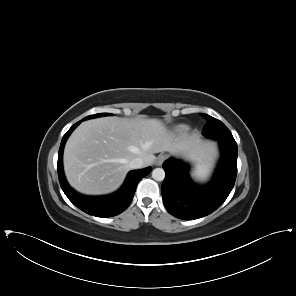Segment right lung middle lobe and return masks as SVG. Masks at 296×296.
<instances>
[{"label": "right lung middle lobe", "mask_w": 296, "mask_h": 296, "mask_svg": "<svg viewBox=\"0 0 296 296\" xmlns=\"http://www.w3.org/2000/svg\"><path fill=\"white\" fill-rule=\"evenodd\" d=\"M108 115H112V114H110V113H99V114H95V115H90V116H87L84 119H82V121L90 119V118H96V117H102V116H108Z\"/></svg>", "instance_id": "right-lung-middle-lobe-1"}]
</instances>
